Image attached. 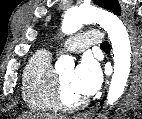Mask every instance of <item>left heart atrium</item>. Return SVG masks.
Returning <instances> with one entry per match:
<instances>
[{
	"mask_svg": "<svg viewBox=\"0 0 142 119\" xmlns=\"http://www.w3.org/2000/svg\"><path fill=\"white\" fill-rule=\"evenodd\" d=\"M101 73L97 65L90 60H83L72 74L71 85L82 97L94 94L100 87Z\"/></svg>",
	"mask_w": 142,
	"mask_h": 119,
	"instance_id": "left-heart-atrium-1",
	"label": "left heart atrium"
}]
</instances>
